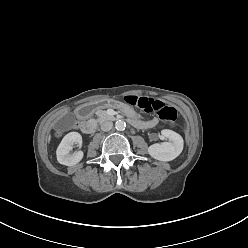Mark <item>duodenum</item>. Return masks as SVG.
Wrapping results in <instances>:
<instances>
[{
    "label": "duodenum",
    "mask_w": 248,
    "mask_h": 248,
    "mask_svg": "<svg viewBox=\"0 0 248 248\" xmlns=\"http://www.w3.org/2000/svg\"><path fill=\"white\" fill-rule=\"evenodd\" d=\"M93 111L89 110V105H83L78 110V115L80 118L84 119L89 116ZM80 128L83 133L90 135L93 134L96 128V125L93 121H82L80 123Z\"/></svg>",
    "instance_id": "duodenum-1"
}]
</instances>
